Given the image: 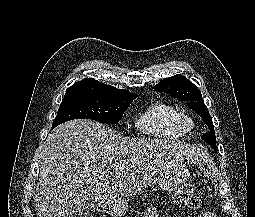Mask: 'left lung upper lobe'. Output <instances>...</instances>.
Wrapping results in <instances>:
<instances>
[{
	"label": "left lung upper lobe",
	"instance_id": "obj_1",
	"mask_svg": "<svg viewBox=\"0 0 255 217\" xmlns=\"http://www.w3.org/2000/svg\"><path fill=\"white\" fill-rule=\"evenodd\" d=\"M154 90L165 92L179 100L186 101L187 105L200 115L209 128V131L202 135V139L218 151L212 118L204 104L201 92L195 84L183 75H174L160 81L155 85Z\"/></svg>",
	"mask_w": 255,
	"mask_h": 217
}]
</instances>
